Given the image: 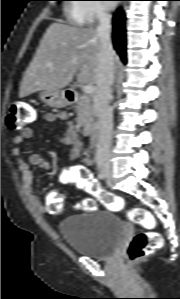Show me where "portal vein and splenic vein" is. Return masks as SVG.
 Segmentation results:
<instances>
[{
  "label": "portal vein and splenic vein",
  "mask_w": 180,
  "mask_h": 299,
  "mask_svg": "<svg viewBox=\"0 0 180 299\" xmlns=\"http://www.w3.org/2000/svg\"><path fill=\"white\" fill-rule=\"evenodd\" d=\"M82 91L85 94H91L95 91V87L92 85H84V86H82Z\"/></svg>",
  "instance_id": "1"
}]
</instances>
